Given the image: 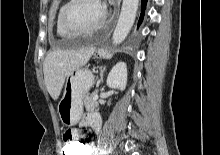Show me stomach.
I'll list each match as a JSON object with an SVG mask.
<instances>
[{
    "mask_svg": "<svg viewBox=\"0 0 220 155\" xmlns=\"http://www.w3.org/2000/svg\"><path fill=\"white\" fill-rule=\"evenodd\" d=\"M98 58L106 57L103 49L96 51ZM94 85V75L91 71L78 68L67 77L65 90L57 106L61 122L65 126H74L83 114V99Z\"/></svg>",
    "mask_w": 220,
    "mask_h": 155,
    "instance_id": "obj_1",
    "label": "stomach"
}]
</instances>
